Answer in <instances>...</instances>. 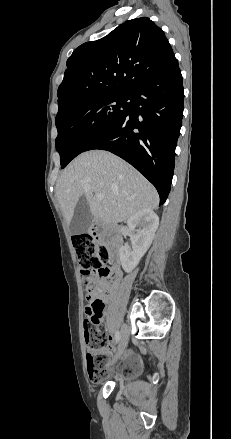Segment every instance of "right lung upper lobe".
I'll use <instances>...</instances> for the list:
<instances>
[{"label": "right lung upper lobe", "mask_w": 231, "mask_h": 439, "mask_svg": "<svg viewBox=\"0 0 231 439\" xmlns=\"http://www.w3.org/2000/svg\"><path fill=\"white\" fill-rule=\"evenodd\" d=\"M174 59L164 32L153 21L128 20L73 51L57 92L58 114L90 98L132 94Z\"/></svg>", "instance_id": "obj_1"}]
</instances>
